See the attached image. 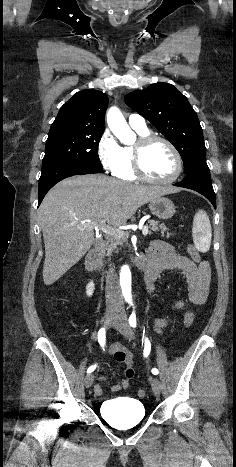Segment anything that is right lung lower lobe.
Masks as SVG:
<instances>
[{
	"mask_svg": "<svg viewBox=\"0 0 236 467\" xmlns=\"http://www.w3.org/2000/svg\"><path fill=\"white\" fill-rule=\"evenodd\" d=\"M91 173L100 171L75 162H61L42 168L38 186V206L46 193L59 181L74 175Z\"/></svg>",
	"mask_w": 236,
	"mask_h": 467,
	"instance_id": "right-lung-lower-lobe-1",
	"label": "right lung lower lobe"
}]
</instances>
